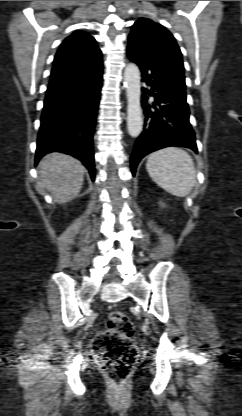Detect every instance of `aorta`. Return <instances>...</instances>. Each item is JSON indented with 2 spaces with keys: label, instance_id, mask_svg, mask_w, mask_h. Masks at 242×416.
<instances>
[{
  "label": "aorta",
  "instance_id": "obj_1",
  "mask_svg": "<svg viewBox=\"0 0 242 416\" xmlns=\"http://www.w3.org/2000/svg\"><path fill=\"white\" fill-rule=\"evenodd\" d=\"M124 85L127 96V129L132 137H138L143 128L141 109L140 71L136 64L130 63L124 70Z\"/></svg>",
  "mask_w": 242,
  "mask_h": 416
}]
</instances>
